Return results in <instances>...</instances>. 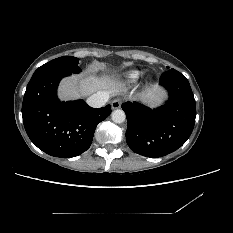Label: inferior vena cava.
Here are the masks:
<instances>
[{"label": "inferior vena cava", "instance_id": "obj_1", "mask_svg": "<svg viewBox=\"0 0 233 233\" xmlns=\"http://www.w3.org/2000/svg\"><path fill=\"white\" fill-rule=\"evenodd\" d=\"M109 100V94L106 92H97L87 99V104L94 108L103 107Z\"/></svg>", "mask_w": 233, "mask_h": 233}]
</instances>
